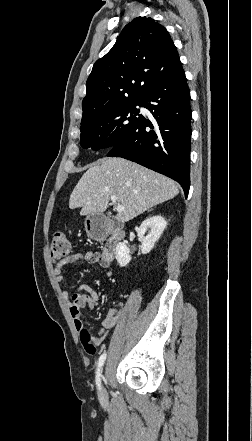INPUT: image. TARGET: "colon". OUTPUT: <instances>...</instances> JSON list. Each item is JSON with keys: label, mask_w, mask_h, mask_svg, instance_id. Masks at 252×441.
Masks as SVG:
<instances>
[{"label": "colon", "mask_w": 252, "mask_h": 441, "mask_svg": "<svg viewBox=\"0 0 252 441\" xmlns=\"http://www.w3.org/2000/svg\"><path fill=\"white\" fill-rule=\"evenodd\" d=\"M70 254V243L68 239L60 232L56 233L50 244V255L53 260L62 259ZM81 342L88 354L93 355L96 352L95 343L92 336L86 328L79 331Z\"/></svg>", "instance_id": "obj_1"}]
</instances>
